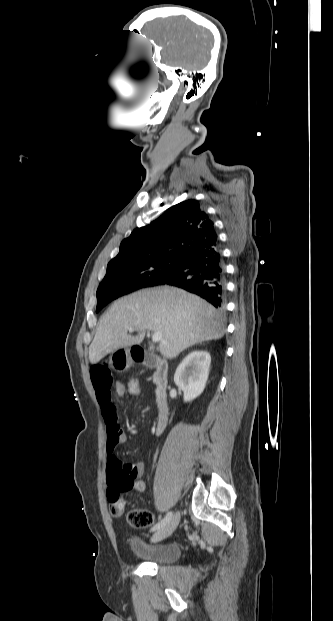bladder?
Returning a JSON list of instances; mask_svg holds the SVG:
<instances>
[{
	"mask_svg": "<svg viewBox=\"0 0 333 621\" xmlns=\"http://www.w3.org/2000/svg\"><path fill=\"white\" fill-rule=\"evenodd\" d=\"M130 549L135 558L157 565L172 563L181 555V548L174 542L149 546L137 537L130 539Z\"/></svg>",
	"mask_w": 333,
	"mask_h": 621,
	"instance_id": "31cf9c89",
	"label": "bladder"
}]
</instances>
